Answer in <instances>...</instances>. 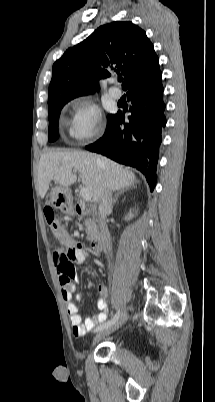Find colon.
I'll list each match as a JSON object with an SVG mask.
<instances>
[{"label":"colon","instance_id":"1","mask_svg":"<svg viewBox=\"0 0 215 402\" xmlns=\"http://www.w3.org/2000/svg\"><path fill=\"white\" fill-rule=\"evenodd\" d=\"M44 215L48 225L50 226L54 236L56 237L57 244H62L64 250H71L75 238L73 235L65 234V232L62 230L56 220L54 210L51 207H46L44 209ZM65 258L67 259V256H65ZM63 269L65 272H70L72 271L73 267L68 263L66 266H64Z\"/></svg>","mask_w":215,"mask_h":402}]
</instances>
